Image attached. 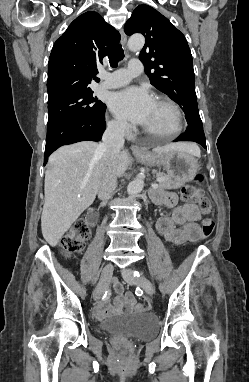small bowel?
Returning a JSON list of instances; mask_svg holds the SVG:
<instances>
[{"label":"small bowel","mask_w":249,"mask_h":382,"mask_svg":"<svg viewBox=\"0 0 249 382\" xmlns=\"http://www.w3.org/2000/svg\"><path fill=\"white\" fill-rule=\"evenodd\" d=\"M155 202L169 208H173L171 215H163L157 220V230L168 241L181 244L187 241H196L200 236L198 221L201 212L195 205H177V198L172 193L159 194L155 196ZM115 298L113 304L108 299L100 301L97 305V313L100 316L130 312L133 308L134 297L132 294L124 293L123 285L113 281Z\"/></svg>","instance_id":"c3829d8e"}]
</instances>
